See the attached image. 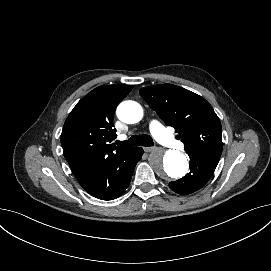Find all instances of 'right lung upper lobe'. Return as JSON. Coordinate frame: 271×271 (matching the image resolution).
Listing matches in <instances>:
<instances>
[{
  "instance_id": "right-lung-upper-lobe-1",
  "label": "right lung upper lobe",
  "mask_w": 271,
  "mask_h": 271,
  "mask_svg": "<svg viewBox=\"0 0 271 271\" xmlns=\"http://www.w3.org/2000/svg\"><path fill=\"white\" fill-rule=\"evenodd\" d=\"M131 90L130 85L99 86L82 98L66 119L61 145L79 183L131 149L110 145L117 136L115 109Z\"/></svg>"
}]
</instances>
